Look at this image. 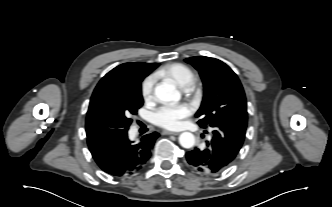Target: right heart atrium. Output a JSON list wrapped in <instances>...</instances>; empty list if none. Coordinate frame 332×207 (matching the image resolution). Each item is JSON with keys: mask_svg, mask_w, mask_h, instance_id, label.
I'll return each instance as SVG.
<instances>
[{"mask_svg": "<svg viewBox=\"0 0 332 207\" xmlns=\"http://www.w3.org/2000/svg\"><path fill=\"white\" fill-rule=\"evenodd\" d=\"M154 86H155V78L153 76L145 78L144 81L142 82L141 94L146 102H149L153 99Z\"/></svg>", "mask_w": 332, "mask_h": 207, "instance_id": "1", "label": "right heart atrium"}]
</instances>
